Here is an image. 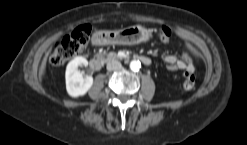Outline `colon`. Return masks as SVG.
<instances>
[{
    "mask_svg": "<svg viewBox=\"0 0 247 145\" xmlns=\"http://www.w3.org/2000/svg\"><path fill=\"white\" fill-rule=\"evenodd\" d=\"M91 29L88 25H81L73 29L69 34L58 40L53 48L50 56L51 64L59 66L76 56L83 48L86 47ZM159 38L167 42L172 36L171 30L162 26L158 29ZM195 86V75L193 73H185L183 88L187 91Z\"/></svg>",
    "mask_w": 247,
    "mask_h": 145,
    "instance_id": "obj_1",
    "label": "colon"
}]
</instances>
